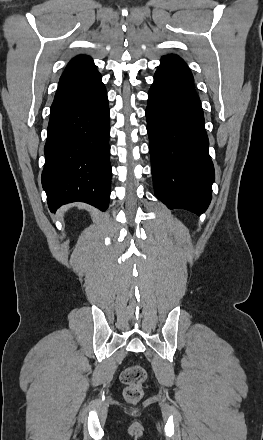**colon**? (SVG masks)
Wrapping results in <instances>:
<instances>
[{"label":"colon","mask_w":263,"mask_h":440,"mask_svg":"<svg viewBox=\"0 0 263 440\" xmlns=\"http://www.w3.org/2000/svg\"><path fill=\"white\" fill-rule=\"evenodd\" d=\"M121 380L125 384L124 398L129 403L138 402L143 396L142 385L146 380V371L139 365H132L126 368Z\"/></svg>","instance_id":"5ec220e1"}]
</instances>
